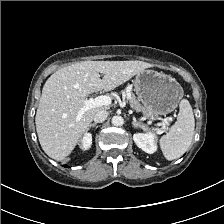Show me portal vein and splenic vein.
Returning <instances> with one entry per match:
<instances>
[{"mask_svg": "<svg viewBox=\"0 0 224 224\" xmlns=\"http://www.w3.org/2000/svg\"><path fill=\"white\" fill-rule=\"evenodd\" d=\"M112 102V99L110 96L107 95H101L98 96L96 98H89V99H85L83 100V104L84 106L81 108V110L78 112L76 121H80V119L82 118V115L92 109V108H96V107H100V106H108L110 105ZM163 124H168V121L165 119L163 120ZM165 128V127H164Z\"/></svg>", "mask_w": 224, "mask_h": 224, "instance_id": "1", "label": "portal vein and splenic vein"}]
</instances>
